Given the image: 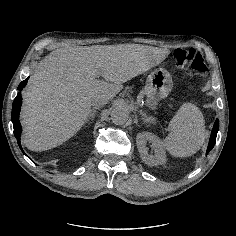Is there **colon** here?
<instances>
[{"label": "colon", "instance_id": "1", "mask_svg": "<svg viewBox=\"0 0 236 236\" xmlns=\"http://www.w3.org/2000/svg\"><path fill=\"white\" fill-rule=\"evenodd\" d=\"M172 59L176 67L190 77L204 78L207 75V65L195 48H178L173 52Z\"/></svg>", "mask_w": 236, "mask_h": 236}]
</instances>
